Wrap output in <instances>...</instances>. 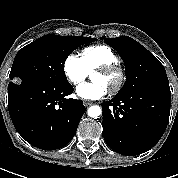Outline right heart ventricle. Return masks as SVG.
I'll return each mask as SVG.
<instances>
[{
    "label": "right heart ventricle",
    "instance_id": "1",
    "mask_svg": "<svg viewBox=\"0 0 178 178\" xmlns=\"http://www.w3.org/2000/svg\"><path fill=\"white\" fill-rule=\"evenodd\" d=\"M88 72H92L97 67L118 63L117 53L106 45H92L82 50L80 56Z\"/></svg>",
    "mask_w": 178,
    "mask_h": 178
}]
</instances>
